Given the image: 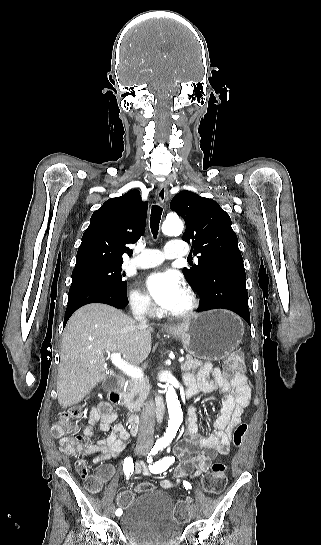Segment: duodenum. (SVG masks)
Wrapping results in <instances>:
<instances>
[{
    "instance_id": "1",
    "label": "duodenum",
    "mask_w": 321,
    "mask_h": 545,
    "mask_svg": "<svg viewBox=\"0 0 321 545\" xmlns=\"http://www.w3.org/2000/svg\"><path fill=\"white\" fill-rule=\"evenodd\" d=\"M124 380L118 376H110L104 382V389L108 393L109 399L114 403H122ZM156 416L158 420L163 416V400L161 397L156 399ZM140 418L136 414H130L128 417V429L131 435H136L139 430Z\"/></svg>"
}]
</instances>
